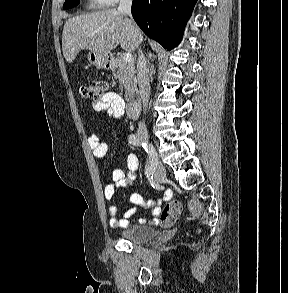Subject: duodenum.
I'll list each match as a JSON object with an SVG mask.
<instances>
[{"mask_svg": "<svg viewBox=\"0 0 288 293\" xmlns=\"http://www.w3.org/2000/svg\"><path fill=\"white\" fill-rule=\"evenodd\" d=\"M141 102L139 98L132 99L129 103V111L132 115H137L140 110Z\"/></svg>", "mask_w": 288, "mask_h": 293, "instance_id": "obj_1", "label": "duodenum"}]
</instances>
